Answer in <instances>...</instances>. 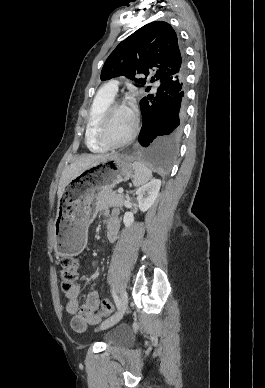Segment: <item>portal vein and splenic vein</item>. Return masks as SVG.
<instances>
[{
	"label": "portal vein and splenic vein",
	"instance_id": "18ae733b",
	"mask_svg": "<svg viewBox=\"0 0 265 388\" xmlns=\"http://www.w3.org/2000/svg\"><path fill=\"white\" fill-rule=\"evenodd\" d=\"M117 192H119V194H122V192H124L123 188H119V190H117Z\"/></svg>",
	"mask_w": 265,
	"mask_h": 388
}]
</instances>
